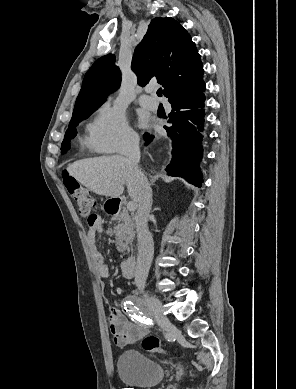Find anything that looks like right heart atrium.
<instances>
[{
  "instance_id": "right-heart-atrium-1",
  "label": "right heart atrium",
  "mask_w": 296,
  "mask_h": 389,
  "mask_svg": "<svg viewBox=\"0 0 296 389\" xmlns=\"http://www.w3.org/2000/svg\"><path fill=\"white\" fill-rule=\"evenodd\" d=\"M90 136L93 148L103 153H121L138 143V135L124 111L109 102L98 110L91 124Z\"/></svg>"
}]
</instances>
